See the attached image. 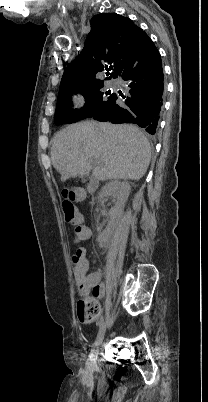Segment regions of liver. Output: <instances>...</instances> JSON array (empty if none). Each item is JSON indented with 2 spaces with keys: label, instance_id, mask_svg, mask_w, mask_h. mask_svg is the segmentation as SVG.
Segmentation results:
<instances>
[{
  "label": "liver",
  "instance_id": "liver-1",
  "mask_svg": "<svg viewBox=\"0 0 208 402\" xmlns=\"http://www.w3.org/2000/svg\"><path fill=\"white\" fill-rule=\"evenodd\" d=\"M51 160L61 182L91 170L97 180H140L150 164L151 146L131 124L79 122L56 134Z\"/></svg>",
  "mask_w": 208,
  "mask_h": 402
}]
</instances>
